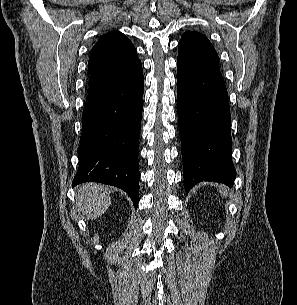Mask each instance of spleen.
<instances>
[{
	"label": "spleen",
	"mask_w": 297,
	"mask_h": 305,
	"mask_svg": "<svg viewBox=\"0 0 297 305\" xmlns=\"http://www.w3.org/2000/svg\"><path fill=\"white\" fill-rule=\"evenodd\" d=\"M220 192H221V194H224L223 188H222V189H220Z\"/></svg>",
	"instance_id": "obj_1"
}]
</instances>
